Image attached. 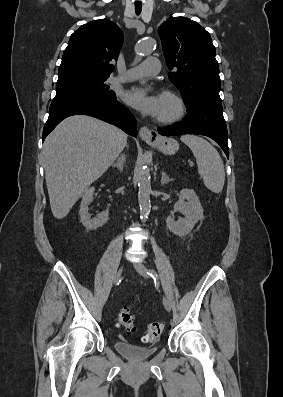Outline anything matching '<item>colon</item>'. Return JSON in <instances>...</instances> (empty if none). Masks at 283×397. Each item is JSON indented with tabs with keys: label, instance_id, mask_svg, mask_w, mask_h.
I'll use <instances>...</instances> for the list:
<instances>
[{
	"label": "colon",
	"instance_id": "5ec220e1",
	"mask_svg": "<svg viewBox=\"0 0 283 397\" xmlns=\"http://www.w3.org/2000/svg\"><path fill=\"white\" fill-rule=\"evenodd\" d=\"M118 325L124 327L127 331L134 330L133 315L125 308H122L118 313ZM163 331V324L161 322L149 323L146 332L143 335V341L151 343L158 339Z\"/></svg>",
	"mask_w": 283,
	"mask_h": 397
}]
</instances>
